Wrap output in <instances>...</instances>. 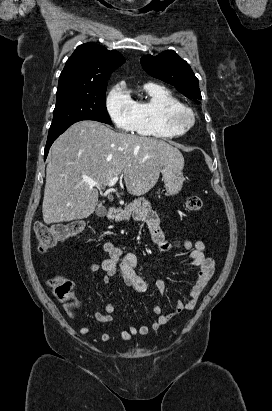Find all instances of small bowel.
Returning <instances> with one entry per match:
<instances>
[{
  "mask_svg": "<svg viewBox=\"0 0 272 411\" xmlns=\"http://www.w3.org/2000/svg\"><path fill=\"white\" fill-rule=\"evenodd\" d=\"M136 218L146 223L152 241L156 249L160 253H166L172 248H180L189 252L192 265L197 269L196 279L190 290V299L187 303L178 301L173 312L163 313V304L158 303L153 306L152 311L157 316L156 320L149 327L147 325L129 326L119 332L122 340L129 342L134 336H145L150 330L157 331L167 325L174 317L179 315L183 310L191 311L196 307L197 301L201 297L202 292L210 281L214 270L215 261L206 256V245L203 241H167L164 232L159 226V220L156 215L148 210L141 209L136 213ZM103 250L108 257L100 264H91L86 267L88 273L103 272V282L108 284L112 278L119 276L125 285L133 288L135 291L142 293L146 290L147 285L143 277L138 272V259L134 254H125L123 249L116 246L114 243L107 241L103 244ZM159 291L163 294L166 289V283L163 280L157 282ZM65 307L67 308L66 304ZM115 307L112 303L105 306L104 312H94L92 317L100 323H110L114 320ZM80 334L89 335L92 329L89 327H81ZM101 340L107 342L111 339L108 332H104L100 336Z\"/></svg>",
  "mask_w": 272,
  "mask_h": 411,
  "instance_id": "small-bowel-1",
  "label": "small bowel"
}]
</instances>
